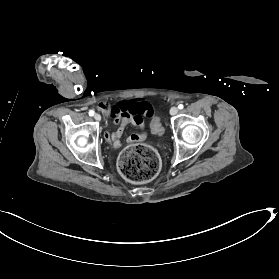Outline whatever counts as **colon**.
Here are the masks:
<instances>
[{
    "mask_svg": "<svg viewBox=\"0 0 279 279\" xmlns=\"http://www.w3.org/2000/svg\"><path fill=\"white\" fill-rule=\"evenodd\" d=\"M99 109L109 112L110 108L106 104H99ZM152 130L161 134L162 127L159 120L152 123ZM161 166L159 155L151 147L146 145H135L125 149L119 156V171L128 181L142 183L154 178Z\"/></svg>",
    "mask_w": 279,
    "mask_h": 279,
    "instance_id": "colon-1",
    "label": "colon"
}]
</instances>
